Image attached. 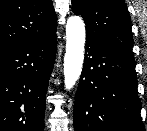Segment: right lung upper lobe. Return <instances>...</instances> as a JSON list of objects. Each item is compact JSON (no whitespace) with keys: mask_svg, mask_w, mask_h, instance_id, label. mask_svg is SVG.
<instances>
[{"mask_svg":"<svg viewBox=\"0 0 147 131\" xmlns=\"http://www.w3.org/2000/svg\"><path fill=\"white\" fill-rule=\"evenodd\" d=\"M52 0H0V54L56 32Z\"/></svg>","mask_w":147,"mask_h":131,"instance_id":"1","label":"right lung upper lobe"}]
</instances>
